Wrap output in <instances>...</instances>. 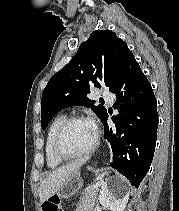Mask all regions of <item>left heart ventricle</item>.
I'll list each match as a JSON object with an SVG mask.
<instances>
[{
    "instance_id": "b2bd125f",
    "label": "left heart ventricle",
    "mask_w": 179,
    "mask_h": 211,
    "mask_svg": "<svg viewBox=\"0 0 179 211\" xmlns=\"http://www.w3.org/2000/svg\"><path fill=\"white\" fill-rule=\"evenodd\" d=\"M96 133L89 121H80L72 124L63 139V149L69 154L84 152L91 147Z\"/></svg>"
}]
</instances>
